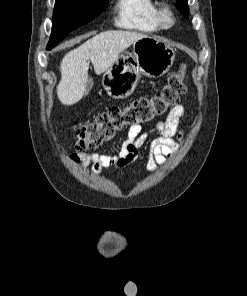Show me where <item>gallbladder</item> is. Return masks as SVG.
Listing matches in <instances>:
<instances>
[{
  "mask_svg": "<svg viewBox=\"0 0 247 296\" xmlns=\"http://www.w3.org/2000/svg\"><path fill=\"white\" fill-rule=\"evenodd\" d=\"M93 85L92 79L88 78L87 82H86V91H85V95L91 90Z\"/></svg>",
  "mask_w": 247,
  "mask_h": 296,
  "instance_id": "bac80fb5",
  "label": "gallbladder"
}]
</instances>
